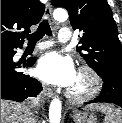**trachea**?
<instances>
[{
  "instance_id": "trachea-1",
  "label": "trachea",
  "mask_w": 122,
  "mask_h": 123,
  "mask_svg": "<svg viewBox=\"0 0 122 123\" xmlns=\"http://www.w3.org/2000/svg\"><path fill=\"white\" fill-rule=\"evenodd\" d=\"M45 34L48 36L52 35V31H51V28H50V25H49L47 19L43 20L40 23L36 32L27 36L28 44L29 45H35L37 43V41L42 39Z\"/></svg>"
}]
</instances>
